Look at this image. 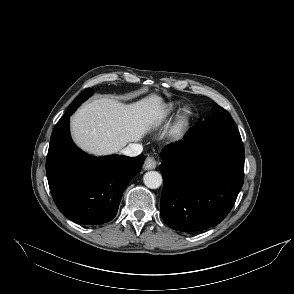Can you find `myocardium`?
<instances>
[{
    "label": "myocardium",
    "mask_w": 294,
    "mask_h": 294,
    "mask_svg": "<svg viewBox=\"0 0 294 294\" xmlns=\"http://www.w3.org/2000/svg\"><path fill=\"white\" fill-rule=\"evenodd\" d=\"M189 116H190V112L188 110H185L180 121V126L184 125L187 122Z\"/></svg>",
    "instance_id": "myocardium-1"
}]
</instances>
